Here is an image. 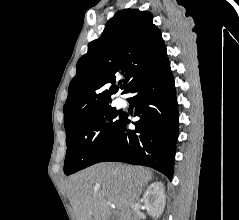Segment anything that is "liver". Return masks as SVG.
Returning <instances> with one entry per match:
<instances>
[{
  "label": "liver",
  "instance_id": "1",
  "mask_svg": "<svg viewBox=\"0 0 239 220\" xmlns=\"http://www.w3.org/2000/svg\"><path fill=\"white\" fill-rule=\"evenodd\" d=\"M151 178L143 167L99 163L73 175L65 190L76 220H110L109 204L116 205L121 220H128L131 204Z\"/></svg>",
  "mask_w": 239,
  "mask_h": 220
}]
</instances>
